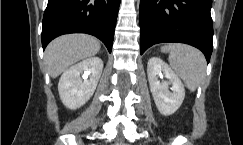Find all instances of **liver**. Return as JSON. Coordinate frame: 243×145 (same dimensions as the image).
Instances as JSON below:
<instances>
[{
    "label": "liver",
    "instance_id": "liver-1",
    "mask_svg": "<svg viewBox=\"0 0 243 145\" xmlns=\"http://www.w3.org/2000/svg\"><path fill=\"white\" fill-rule=\"evenodd\" d=\"M99 41L85 34L63 35L54 39L45 50V62L52 78L58 77L72 64L96 55Z\"/></svg>",
    "mask_w": 243,
    "mask_h": 145
}]
</instances>
